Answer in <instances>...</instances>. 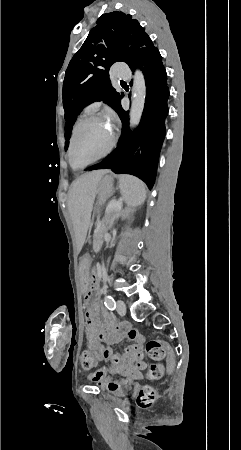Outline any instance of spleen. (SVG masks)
<instances>
[{
	"mask_svg": "<svg viewBox=\"0 0 241 450\" xmlns=\"http://www.w3.org/2000/svg\"><path fill=\"white\" fill-rule=\"evenodd\" d=\"M119 188L125 204L130 208L142 206L146 200V186L135 176H119Z\"/></svg>",
	"mask_w": 241,
	"mask_h": 450,
	"instance_id": "obj_1",
	"label": "spleen"
}]
</instances>
